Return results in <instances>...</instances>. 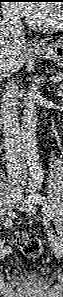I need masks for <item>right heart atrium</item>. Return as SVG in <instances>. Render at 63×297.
I'll list each match as a JSON object with an SVG mask.
<instances>
[{
    "instance_id": "d8ad5b80",
    "label": "right heart atrium",
    "mask_w": 63,
    "mask_h": 297,
    "mask_svg": "<svg viewBox=\"0 0 63 297\" xmlns=\"http://www.w3.org/2000/svg\"><path fill=\"white\" fill-rule=\"evenodd\" d=\"M5 14H6V17L10 20H13V21L19 20V14L17 13V11H15L11 8H6Z\"/></svg>"
}]
</instances>
